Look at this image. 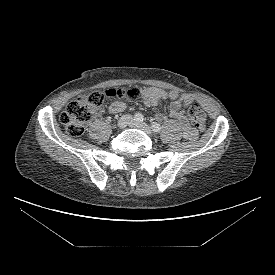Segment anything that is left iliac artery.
Returning a JSON list of instances; mask_svg holds the SVG:
<instances>
[{"instance_id": "left-iliac-artery-1", "label": "left iliac artery", "mask_w": 275, "mask_h": 275, "mask_svg": "<svg viewBox=\"0 0 275 275\" xmlns=\"http://www.w3.org/2000/svg\"><path fill=\"white\" fill-rule=\"evenodd\" d=\"M151 128L154 132L159 133L161 131V126L157 122L151 124Z\"/></svg>"}]
</instances>
